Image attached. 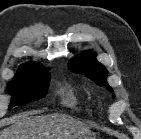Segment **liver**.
<instances>
[{"mask_svg": "<svg viewBox=\"0 0 141 139\" xmlns=\"http://www.w3.org/2000/svg\"><path fill=\"white\" fill-rule=\"evenodd\" d=\"M9 122L11 125L0 131V139H77L90 132L82 122L59 113L34 116L26 112Z\"/></svg>", "mask_w": 141, "mask_h": 139, "instance_id": "1", "label": "liver"}]
</instances>
